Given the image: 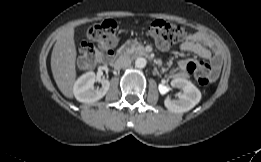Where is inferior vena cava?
<instances>
[{
	"instance_id": "1",
	"label": "inferior vena cava",
	"mask_w": 261,
	"mask_h": 162,
	"mask_svg": "<svg viewBox=\"0 0 261 162\" xmlns=\"http://www.w3.org/2000/svg\"><path fill=\"white\" fill-rule=\"evenodd\" d=\"M131 66V60L128 58H119L114 65L115 69H126Z\"/></svg>"
}]
</instances>
